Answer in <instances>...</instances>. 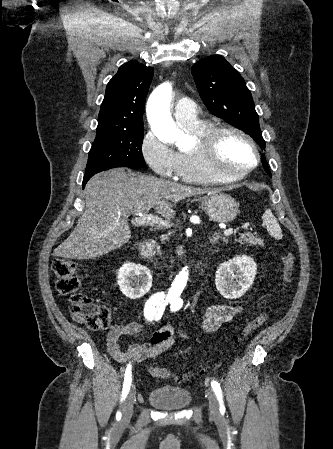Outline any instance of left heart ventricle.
Listing matches in <instances>:
<instances>
[{"label": "left heart ventricle", "mask_w": 333, "mask_h": 449, "mask_svg": "<svg viewBox=\"0 0 333 449\" xmlns=\"http://www.w3.org/2000/svg\"><path fill=\"white\" fill-rule=\"evenodd\" d=\"M254 161L253 150L242 138L236 135H228L223 138L217 157L219 169L230 173H240Z\"/></svg>", "instance_id": "1"}]
</instances>
